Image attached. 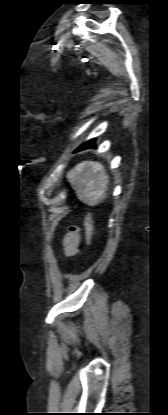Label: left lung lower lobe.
<instances>
[{
    "label": "left lung lower lobe",
    "instance_id": "1",
    "mask_svg": "<svg viewBox=\"0 0 168 415\" xmlns=\"http://www.w3.org/2000/svg\"><path fill=\"white\" fill-rule=\"evenodd\" d=\"M96 144H95V139H91L87 142H85L84 144H82L76 151H81L84 149H88V148H95Z\"/></svg>",
    "mask_w": 168,
    "mask_h": 415
}]
</instances>
